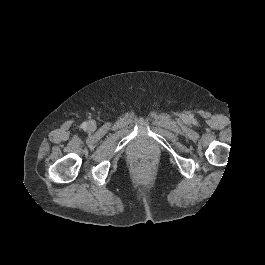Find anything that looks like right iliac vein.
Segmentation results:
<instances>
[{"label":"right iliac vein","instance_id":"1","mask_svg":"<svg viewBox=\"0 0 265 265\" xmlns=\"http://www.w3.org/2000/svg\"><path fill=\"white\" fill-rule=\"evenodd\" d=\"M92 124H93V122H90L89 125H88V127H91Z\"/></svg>","mask_w":265,"mask_h":265}]
</instances>
